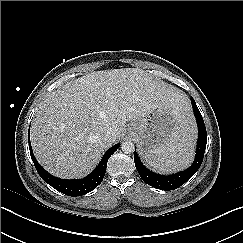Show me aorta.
<instances>
[{
    "label": "aorta",
    "instance_id": "1",
    "mask_svg": "<svg viewBox=\"0 0 243 243\" xmlns=\"http://www.w3.org/2000/svg\"><path fill=\"white\" fill-rule=\"evenodd\" d=\"M121 149L123 151V153L125 154H131L134 152L135 150V146H134V143L131 142V141H124L122 144H121Z\"/></svg>",
    "mask_w": 243,
    "mask_h": 243
}]
</instances>
